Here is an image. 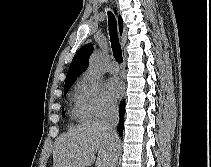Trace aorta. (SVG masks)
<instances>
[{
  "mask_svg": "<svg viewBox=\"0 0 211 167\" xmlns=\"http://www.w3.org/2000/svg\"><path fill=\"white\" fill-rule=\"evenodd\" d=\"M89 68L95 73H99L101 70V56L99 52H95L92 54L89 60Z\"/></svg>",
  "mask_w": 211,
  "mask_h": 167,
  "instance_id": "1",
  "label": "aorta"
}]
</instances>
